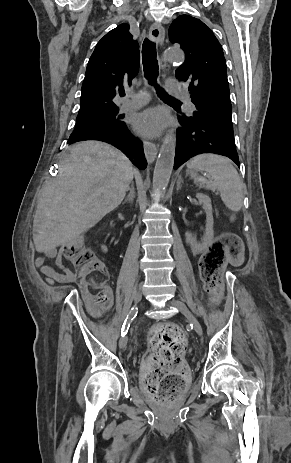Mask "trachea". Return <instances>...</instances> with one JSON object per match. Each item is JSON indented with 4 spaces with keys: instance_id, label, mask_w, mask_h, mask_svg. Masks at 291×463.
<instances>
[{
    "instance_id": "3493384b",
    "label": "trachea",
    "mask_w": 291,
    "mask_h": 463,
    "mask_svg": "<svg viewBox=\"0 0 291 463\" xmlns=\"http://www.w3.org/2000/svg\"><path fill=\"white\" fill-rule=\"evenodd\" d=\"M142 63L144 75L148 83L156 87L158 96L163 100L180 102L179 100L169 96L164 90L157 85L158 64L156 60V44L149 39H145L142 47Z\"/></svg>"
}]
</instances>
